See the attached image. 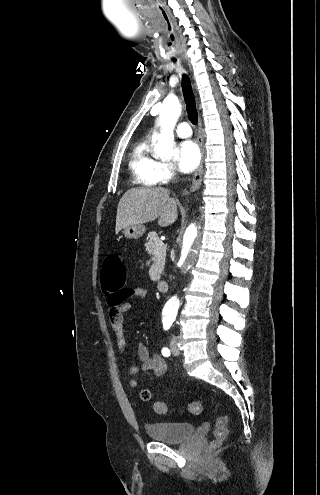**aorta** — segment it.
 <instances>
[{"instance_id": "762f6f07", "label": "aorta", "mask_w": 320, "mask_h": 495, "mask_svg": "<svg viewBox=\"0 0 320 495\" xmlns=\"http://www.w3.org/2000/svg\"><path fill=\"white\" fill-rule=\"evenodd\" d=\"M157 112L156 123L160 128L154 153L164 158H172L175 150L174 128L181 115V104L177 97L168 96L162 104L153 108ZM204 232V224L200 220H194L185 229L176 263L180 268H189L191 261L197 256ZM179 308V300L172 297L165 309L175 316Z\"/></svg>"}]
</instances>
